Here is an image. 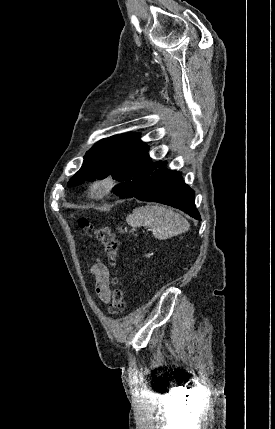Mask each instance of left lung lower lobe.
<instances>
[{
    "instance_id": "obj_1",
    "label": "left lung lower lobe",
    "mask_w": 275,
    "mask_h": 429,
    "mask_svg": "<svg viewBox=\"0 0 275 429\" xmlns=\"http://www.w3.org/2000/svg\"><path fill=\"white\" fill-rule=\"evenodd\" d=\"M166 165L165 161L152 162L127 191L121 194V188L117 186L114 193L120 195L122 199L137 198L166 204L200 220L195 206L194 191L184 183L180 172L171 171Z\"/></svg>"
}]
</instances>
